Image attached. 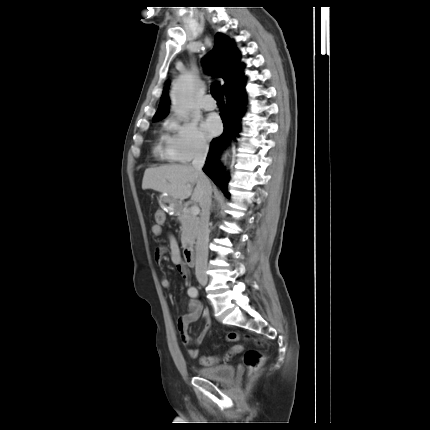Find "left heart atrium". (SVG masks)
I'll return each instance as SVG.
<instances>
[{"label": "left heart atrium", "instance_id": "obj_1", "mask_svg": "<svg viewBox=\"0 0 430 430\" xmlns=\"http://www.w3.org/2000/svg\"><path fill=\"white\" fill-rule=\"evenodd\" d=\"M206 137H214L220 130V121L217 116L209 115L201 124Z\"/></svg>", "mask_w": 430, "mask_h": 430}]
</instances>
